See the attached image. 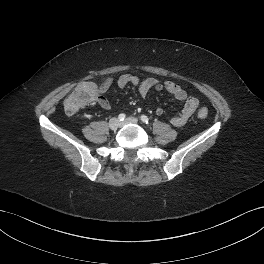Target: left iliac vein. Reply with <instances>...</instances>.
Wrapping results in <instances>:
<instances>
[{
  "mask_svg": "<svg viewBox=\"0 0 264 264\" xmlns=\"http://www.w3.org/2000/svg\"><path fill=\"white\" fill-rule=\"evenodd\" d=\"M138 119L135 118V117H128L127 119H125L121 124L124 125V124H138Z\"/></svg>",
  "mask_w": 264,
  "mask_h": 264,
  "instance_id": "obj_1",
  "label": "left iliac vein"
}]
</instances>
